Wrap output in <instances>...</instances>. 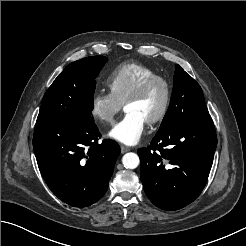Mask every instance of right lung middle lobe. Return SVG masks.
Returning a JSON list of instances; mask_svg holds the SVG:
<instances>
[{
	"label": "right lung middle lobe",
	"instance_id": "dd1d6c3e",
	"mask_svg": "<svg viewBox=\"0 0 246 246\" xmlns=\"http://www.w3.org/2000/svg\"><path fill=\"white\" fill-rule=\"evenodd\" d=\"M106 62L91 56L69 64L46 91L36 123L92 124L95 78Z\"/></svg>",
	"mask_w": 246,
	"mask_h": 246
}]
</instances>
